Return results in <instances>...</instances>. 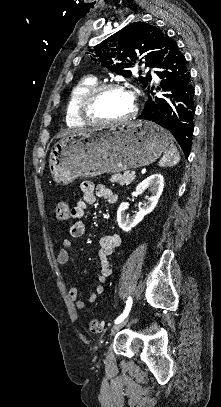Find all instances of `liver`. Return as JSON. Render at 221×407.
<instances>
[{"label": "liver", "instance_id": "1", "mask_svg": "<svg viewBox=\"0 0 221 407\" xmlns=\"http://www.w3.org/2000/svg\"><path fill=\"white\" fill-rule=\"evenodd\" d=\"M84 131H86V130H84V129L66 130V131H64V132L59 133V134L57 135V138H62V137H64V136L69 135V134H72V133L84 132Z\"/></svg>", "mask_w": 221, "mask_h": 407}]
</instances>
